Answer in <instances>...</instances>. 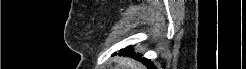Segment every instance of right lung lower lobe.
<instances>
[{
    "label": "right lung lower lobe",
    "mask_w": 246,
    "mask_h": 69,
    "mask_svg": "<svg viewBox=\"0 0 246 69\" xmlns=\"http://www.w3.org/2000/svg\"><path fill=\"white\" fill-rule=\"evenodd\" d=\"M125 51H126V54H127V55H130V54L133 52L132 47H127V48H125V49H122L120 54L123 55V52H125ZM132 55H133L136 59L142 60V62L145 63V65H146L148 68H150V69H155V67L153 66V63L150 62V61H147L145 58L142 59L141 55L137 54V55L135 56L134 53H133Z\"/></svg>",
    "instance_id": "98d812e1"
}]
</instances>
